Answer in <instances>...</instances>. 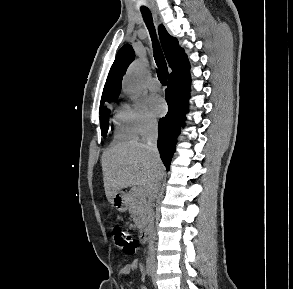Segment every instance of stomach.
I'll use <instances>...</instances> for the list:
<instances>
[{
    "label": "stomach",
    "mask_w": 293,
    "mask_h": 289,
    "mask_svg": "<svg viewBox=\"0 0 293 289\" xmlns=\"http://www.w3.org/2000/svg\"><path fill=\"white\" fill-rule=\"evenodd\" d=\"M111 203L117 211L124 212V211H126L127 206H128L127 195L122 191H118L111 198Z\"/></svg>",
    "instance_id": "obj_1"
}]
</instances>
